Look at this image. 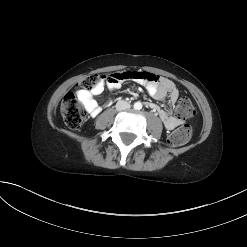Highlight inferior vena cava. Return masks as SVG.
<instances>
[{"label":"inferior vena cava","instance_id":"602c4592","mask_svg":"<svg viewBox=\"0 0 247 247\" xmlns=\"http://www.w3.org/2000/svg\"><path fill=\"white\" fill-rule=\"evenodd\" d=\"M130 108V104L124 100L118 101L116 103V109L118 111L126 110Z\"/></svg>","mask_w":247,"mask_h":247}]
</instances>
